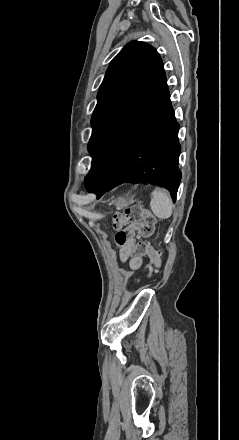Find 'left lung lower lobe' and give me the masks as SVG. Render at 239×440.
Instances as JSON below:
<instances>
[{
	"label": "left lung lower lobe",
	"mask_w": 239,
	"mask_h": 440,
	"mask_svg": "<svg viewBox=\"0 0 239 440\" xmlns=\"http://www.w3.org/2000/svg\"><path fill=\"white\" fill-rule=\"evenodd\" d=\"M163 71L140 100L105 134L84 183L98 198L122 183L162 182L176 199L181 147Z\"/></svg>",
	"instance_id": "left-lung-lower-lobe-1"
}]
</instances>
